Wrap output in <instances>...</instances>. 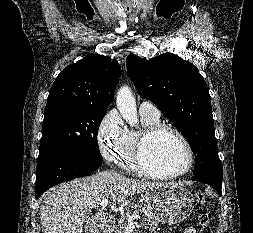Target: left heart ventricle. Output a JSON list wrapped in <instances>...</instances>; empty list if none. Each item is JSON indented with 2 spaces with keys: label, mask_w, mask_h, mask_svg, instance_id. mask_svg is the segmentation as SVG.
I'll return each instance as SVG.
<instances>
[{
  "label": "left heart ventricle",
  "mask_w": 253,
  "mask_h": 233,
  "mask_svg": "<svg viewBox=\"0 0 253 233\" xmlns=\"http://www.w3.org/2000/svg\"><path fill=\"white\" fill-rule=\"evenodd\" d=\"M144 158L148 168L157 173L182 171L188 162L184 145L167 132L159 134L148 144Z\"/></svg>",
  "instance_id": "b2bd125f"
}]
</instances>
